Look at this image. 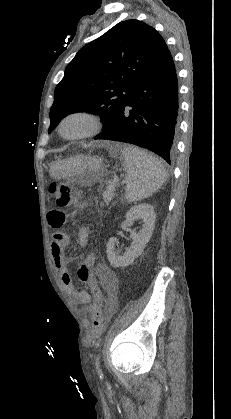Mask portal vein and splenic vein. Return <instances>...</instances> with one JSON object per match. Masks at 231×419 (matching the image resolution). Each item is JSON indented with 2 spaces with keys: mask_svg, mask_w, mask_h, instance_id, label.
<instances>
[{
  "mask_svg": "<svg viewBox=\"0 0 231 419\" xmlns=\"http://www.w3.org/2000/svg\"><path fill=\"white\" fill-rule=\"evenodd\" d=\"M117 183V180H113V182H111L107 188L109 189H114L115 188V184Z\"/></svg>",
  "mask_w": 231,
  "mask_h": 419,
  "instance_id": "portal-vein-and-splenic-vein-1",
  "label": "portal vein and splenic vein"
}]
</instances>
